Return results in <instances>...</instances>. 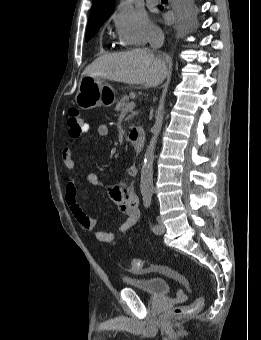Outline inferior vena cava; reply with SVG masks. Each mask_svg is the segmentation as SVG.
Masks as SVG:
<instances>
[{"instance_id": "602c4592", "label": "inferior vena cava", "mask_w": 261, "mask_h": 340, "mask_svg": "<svg viewBox=\"0 0 261 340\" xmlns=\"http://www.w3.org/2000/svg\"><path fill=\"white\" fill-rule=\"evenodd\" d=\"M149 43L152 49H158L164 44V34L160 29H154L150 35Z\"/></svg>"}]
</instances>
